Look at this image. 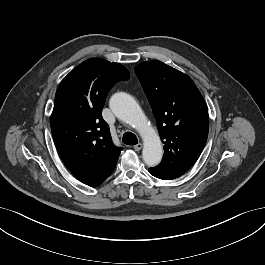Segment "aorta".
Wrapping results in <instances>:
<instances>
[{
	"label": "aorta",
	"instance_id": "aorta-1",
	"mask_svg": "<svg viewBox=\"0 0 265 265\" xmlns=\"http://www.w3.org/2000/svg\"><path fill=\"white\" fill-rule=\"evenodd\" d=\"M109 106L117 118L132 125L141 135L144 142L142 157L145 164L150 167L158 165L163 156L159 135L136 100L125 92H117L110 98Z\"/></svg>",
	"mask_w": 265,
	"mask_h": 265
}]
</instances>
